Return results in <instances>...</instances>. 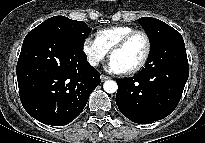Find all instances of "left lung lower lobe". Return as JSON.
I'll return each instance as SVG.
<instances>
[{
	"instance_id": "left-lung-lower-lobe-1",
	"label": "left lung lower lobe",
	"mask_w": 205,
	"mask_h": 143,
	"mask_svg": "<svg viewBox=\"0 0 205 143\" xmlns=\"http://www.w3.org/2000/svg\"><path fill=\"white\" fill-rule=\"evenodd\" d=\"M154 65L131 78L116 79V104L129 120L148 124L165 118L177 107L189 76L184 40L171 35L150 51Z\"/></svg>"
}]
</instances>
